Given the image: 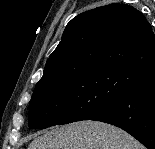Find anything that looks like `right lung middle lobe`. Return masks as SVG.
Wrapping results in <instances>:
<instances>
[{"instance_id":"1","label":"right lung middle lobe","mask_w":155,"mask_h":149,"mask_svg":"<svg viewBox=\"0 0 155 149\" xmlns=\"http://www.w3.org/2000/svg\"><path fill=\"white\" fill-rule=\"evenodd\" d=\"M145 78L129 69H100L36 84L29 102L31 129L90 120Z\"/></svg>"}]
</instances>
